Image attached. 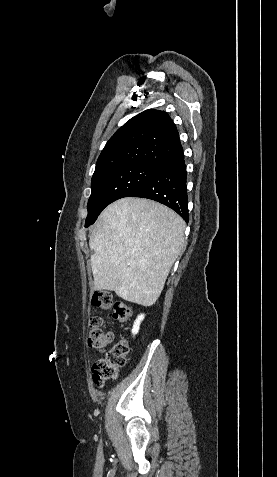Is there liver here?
<instances>
[{"instance_id":"obj_1","label":"liver","mask_w":277,"mask_h":477,"mask_svg":"<svg viewBox=\"0 0 277 477\" xmlns=\"http://www.w3.org/2000/svg\"><path fill=\"white\" fill-rule=\"evenodd\" d=\"M186 223L158 202L126 197L103 210L90 235L94 290L152 306L185 245Z\"/></svg>"}]
</instances>
